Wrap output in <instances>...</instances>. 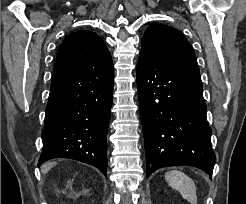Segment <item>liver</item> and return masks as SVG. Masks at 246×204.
<instances>
[{"label": "liver", "mask_w": 246, "mask_h": 204, "mask_svg": "<svg viewBox=\"0 0 246 204\" xmlns=\"http://www.w3.org/2000/svg\"><path fill=\"white\" fill-rule=\"evenodd\" d=\"M54 165L55 163H48V164L43 165L41 168V172L43 174H46Z\"/></svg>", "instance_id": "1"}]
</instances>
